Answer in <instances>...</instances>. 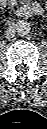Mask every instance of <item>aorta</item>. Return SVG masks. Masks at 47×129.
<instances>
[{
	"label": "aorta",
	"instance_id": "762f6f07",
	"mask_svg": "<svg viewBox=\"0 0 47 129\" xmlns=\"http://www.w3.org/2000/svg\"><path fill=\"white\" fill-rule=\"evenodd\" d=\"M15 30H16L17 34L25 35L30 32L31 25L26 20H20L19 22H17Z\"/></svg>",
	"mask_w": 47,
	"mask_h": 129
}]
</instances>
